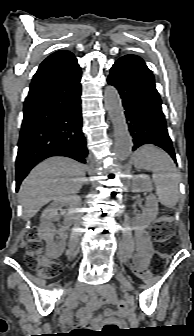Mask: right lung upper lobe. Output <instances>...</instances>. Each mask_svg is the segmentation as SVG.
<instances>
[{
    "mask_svg": "<svg viewBox=\"0 0 194 336\" xmlns=\"http://www.w3.org/2000/svg\"><path fill=\"white\" fill-rule=\"evenodd\" d=\"M77 62L75 56L66 50H60L47 57L39 66L33 81L56 74Z\"/></svg>",
    "mask_w": 194,
    "mask_h": 336,
    "instance_id": "right-lung-upper-lobe-1",
    "label": "right lung upper lobe"
}]
</instances>
